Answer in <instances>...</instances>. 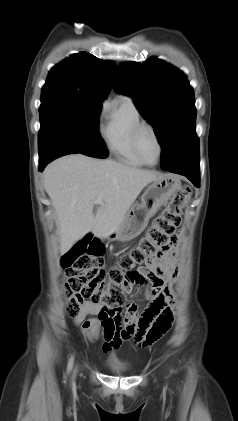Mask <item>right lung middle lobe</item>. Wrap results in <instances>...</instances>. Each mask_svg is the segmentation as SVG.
<instances>
[{
	"label": "right lung middle lobe",
	"mask_w": 238,
	"mask_h": 421,
	"mask_svg": "<svg viewBox=\"0 0 238 421\" xmlns=\"http://www.w3.org/2000/svg\"><path fill=\"white\" fill-rule=\"evenodd\" d=\"M102 100L82 94L42 91L39 152L57 142L88 156L106 158L109 153L98 131Z\"/></svg>",
	"instance_id": "obj_1"
}]
</instances>
